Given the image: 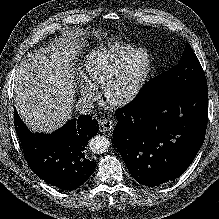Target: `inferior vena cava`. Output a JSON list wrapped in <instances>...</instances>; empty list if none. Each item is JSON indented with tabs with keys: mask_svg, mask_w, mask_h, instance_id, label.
Returning a JSON list of instances; mask_svg holds the SVG:
<instances>
[{
	"mask_svg": "<svg viewBox=\"0 0 219 219\" xmlns=\"http://www.w3.org/2000/svg\"><path fill=\"white\" fill-rule=\"evenodd\" d=\"M75 107L79 114L86 115L92 113L94 105L90 100L80 99L76 102Z\"/></svg>",
	"mask_w": 219,
	"mask_h": 219,
	"instance_id": "1",
	"label": "inferior vena cava"
}]
</instances>
